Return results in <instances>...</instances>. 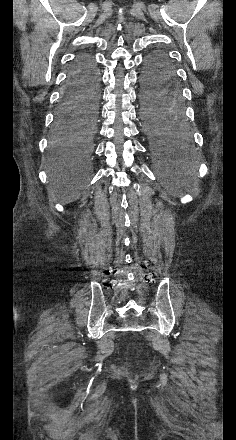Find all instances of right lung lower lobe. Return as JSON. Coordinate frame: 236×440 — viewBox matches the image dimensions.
<instances>
[{"label":"right lung lower lobe","instance_id":"obj_1","mask_svg":"<svg viewBox=\"0 0 236 440\" xmlns=\"http://www.w3.org/2000/svg\"><path fill=\"white\" fill-rule=\"evenodd\" d=\"M99 83V72L93 59L88 55L80 56L72 66L64 88L62 104L56 114L55 130H70L81 120V109L85 102L81 98V89L87 83Z\"/></svg>","mask_w":236,"mask_h":440}]
</instances>
